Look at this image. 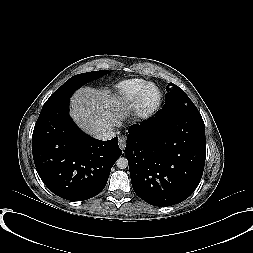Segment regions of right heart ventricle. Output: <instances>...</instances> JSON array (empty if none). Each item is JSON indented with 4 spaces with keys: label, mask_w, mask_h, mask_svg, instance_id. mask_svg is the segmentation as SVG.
Returning <instances> with one entry per match:
<instances>
[{
    "label": "right heart ventricle",
    "mask_w": 253,
    "mask_h": 253,
    "mask_svg": "<svg viewBox=\"0 0 253 253\" xmlns=\"http://www.w3.org/2000/svg\"><path fill=\"white\" fill-rule=\"evenodd\" d=\"M147 82L141 78L127 79L115 87V98L118 105H129L136 101L142 87Z\"/></svg>",
    "instance_id": "right-heart-ventricle-1"
}]
</instances>
